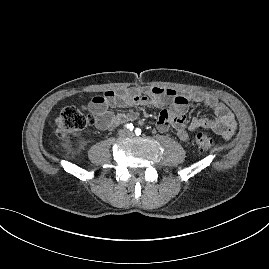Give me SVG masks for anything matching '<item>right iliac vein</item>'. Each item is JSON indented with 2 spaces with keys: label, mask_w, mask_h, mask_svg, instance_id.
I'll list each match as a JSON object with an SVG mask.
<instances>
[{
  "label": "right iliac vein",
  "mask_w": 269,
  "mask_h": 269,
  "mask_svg": "<svg viewBox=\"0 0 269 269\" xmlns=\"http://www.w3.org/2000/svg\"><path fill=\"white\" fill-rule=\"evenodd\" d=\"M119 135L124 136L126 135V132L124 130L119 131Z\"/></svg>",
  "instance_id": "right-iliac-vein-1"
}]
</instances>
